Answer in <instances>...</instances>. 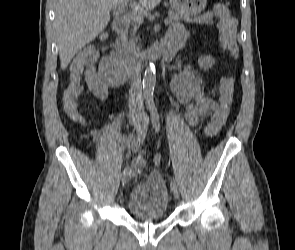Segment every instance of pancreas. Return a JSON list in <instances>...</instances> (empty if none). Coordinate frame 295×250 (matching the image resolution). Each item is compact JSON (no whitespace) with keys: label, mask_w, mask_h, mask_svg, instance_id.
Returning <instances> with one entry per match:
<instances>
[{"label":"pancreas","mask_w":295,"mask_h":250,"mask_svg":"<svg viewBox=\"0 0 295 250\" xmlns=\"http://www.w3.org/2000/svg\"><path fill=\"white\" fill-rule=\"evenodd\" d=\"M168 15H169V19H170L171 24L179 23L181 20L187 21V22H192V23H201V24L205 23V24H211V25L213 24V21H212L213 14L212 13H206L202 16H195L193 18L184 17V16H181L177 13L172 12V11H169ZM138 28H139V25L134 23L133 34L128 42V49L130 51H134L136 49L137 37H135V34H136V31L138 30Z\"/></svg>","instance_id":"cf45deb5"}]
</instances>
